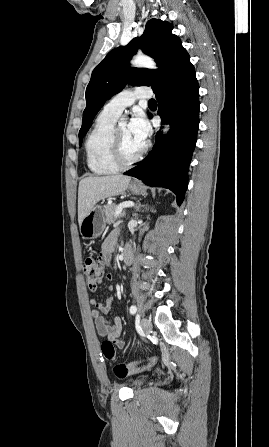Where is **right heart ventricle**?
<instances>
[{"mask_svg":"<svg viewBox=\"0 0 269 447\" xmlns=\"http://www.w3.org/2000/svg\"><path fill=\"white\" fill-rule=\"evenodd\" d=\"M115 121L116 117L102 111L87 138V164L95 174H108L119 168L113 162L110 150V137Z\"/></svg>","mask_w":269,"mask_h":447,"instance_id":"1","label":"right heart ventricle"}]
</instances>
